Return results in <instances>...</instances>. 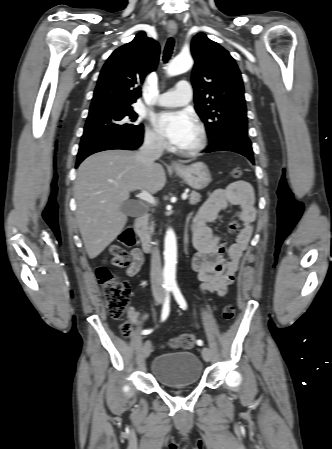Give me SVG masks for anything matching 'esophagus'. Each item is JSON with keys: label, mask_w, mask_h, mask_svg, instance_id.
<instances>
[{"label": "esophagus", "mask_w": 332, "mask_h": 449, "mask_svg": "<svg viewBox=\"0 0 332 449\" xmlns=\"http://www.w3.org/2000/svg\"><path fill=\"white\" fill-rule=\"evenodd\" d=\"M167 31L169 34L175 35L177 33V25L174 23H169L167 26ZM171 166L174 168H179L181 167V164L176 161H172Z\"/></svg>", "instance_id": "obj_1"}]
</instances>
